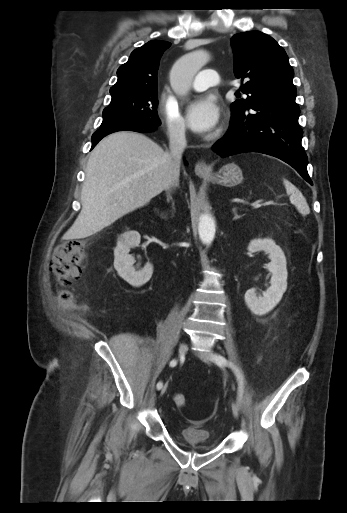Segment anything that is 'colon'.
I'll use <instances>...</instances> for the list:
<instances>
[{
  "label": "colon",
  "mask_w": 347,
  "mask_h": 513,
  "mask_svg": "<svg viewBox=\"0 0 347 513\" xmlns=\"http://www.w3.org/2000/svg\"><path fill=\"white\" fill-rule=\"evenodd\" d=\"M86 260V252L81 241L73 240L61 244L51 259V269L58 280V295L61 302L69 305L73 301V295L69 291L70 284L78 279L82 273ZM174 404L183 409L187 405V399L181 392L172 395Z\"/></svg>",
  "instance_id": "colon-1"
}]
</instances>
